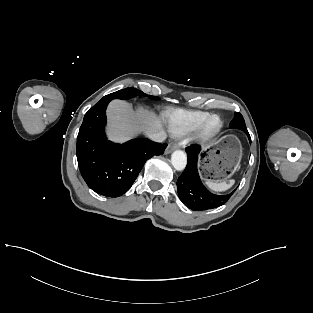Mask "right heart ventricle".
<instances>
[{
  "label": "right heart ventricle",
  "instance_id": "obj_1",
  "mask_svg": "<svg viewBox=\"0 0 313 313\" xmlns=\"http://www.w3.org/2000/svg\"><path fill=\"white\" fill-rule=\"evenodd\" d=\"M209 116L207 112L173 111L167 117L168 128L173 136L182 137L195 131Z\"/></svg>",
  "mask_w": 313,
  "mask_h": 313
}]
</instances>
